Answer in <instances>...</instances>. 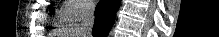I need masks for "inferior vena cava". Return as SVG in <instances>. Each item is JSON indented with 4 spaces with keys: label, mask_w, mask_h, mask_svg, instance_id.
<instances>
[{
    "label": "inferior vena cava",
    "mask_w": 219,
    "mask_h": 37,
    "mask_svg": "<svg viewBox=\"0 0 219 37\" xmlns=\"http://www.w3.org/2000/svg\"><path fill=\"white\" fill-rule=\"evenodd\" d=\"M94 7H87L84 11L82 21L77 29V36L79 37H92V28L95 20Z\"/></svg>",
    "instance_id": "1"
}]
</instances>
